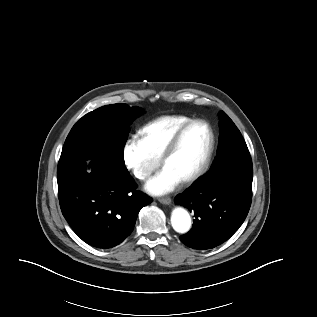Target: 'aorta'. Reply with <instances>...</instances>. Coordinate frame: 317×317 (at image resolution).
<instances>
[{"label":"aorta","mask_w":317,"mask_h":317,"mask_svg":"<svg viewBox=\"0 0 317 317\" xmlns=\"http://www.w3.org/2000/svg\"><path fill=\"white\" fill-rule=\"evenodd\" d=\"M171 224L176 232L187 233L192 225L191 217L187 210L181 207L175 208L171 215Z\"/></svg>","instance_id":"aorta-1"}]
</instances>
